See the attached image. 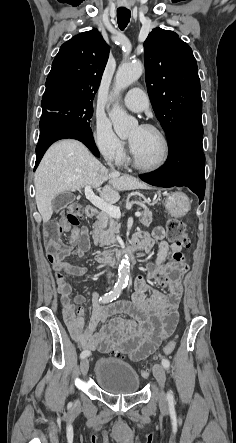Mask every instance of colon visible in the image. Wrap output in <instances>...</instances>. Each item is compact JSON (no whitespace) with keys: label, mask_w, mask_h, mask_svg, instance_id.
I'll return each instance as SVG.
<instances>
[{"label":"colon","mask_w":236,"mask_h":443,"mask_svg":"<svg viewBox=\"0 0 236 443\" xmlns=\"http://www.w3.org/2000/svg\"><path fill=\"white\" fill-rule=\"evenodd\" d=\"M67 213V224L72 226L74 229L79 224V218L82 214L81 206L77 203H70L66 209ZM65 226H62L59 222L52 221L48 224L45 230V240L48 248V252L51 257L62 260L66 253L64 252L62 245L58 241V236L61 234L62 229ZM166 234L168 238L173 241L175 244L181 247H188L190 242L187 236L186 226L185 224L174 218H169L166 222ZM176 339H170L163 347L162 351L158 354V356L170 355L176 348ZM127 351L126 347L120 346H106L102 353L109 355L111 357H119L123 356ZM149 371L147 368H143L141 370L142 377H147Z\"/></svg>","instance_id":"obj_1"}]
</instances>
